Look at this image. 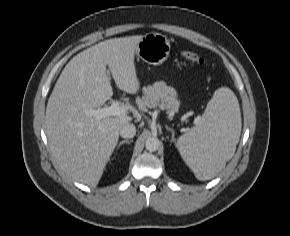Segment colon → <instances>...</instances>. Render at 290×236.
<instances>
[{
	"label": "colon",
	"mask_w": 290,
	"mask_h": 236,
	"mask_svg": "<svg viewBox=\"0 0 290 236\" xmlns=\"http://www.w3.org/2000/svg\"><path fill=\"white\" fill-rule=\"evenodd\" d=\"M183 57L186 60L193 62V63H196L198 65H203L205 62L204 59L200 55H198L197 53L192 52V51H185L183 53Z\"/></svg>",
	"instance_id": "5ec220e1"
}]
</instances>
